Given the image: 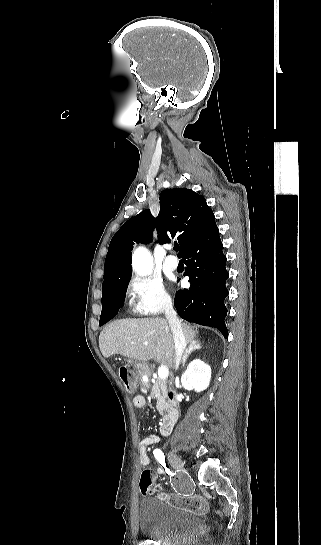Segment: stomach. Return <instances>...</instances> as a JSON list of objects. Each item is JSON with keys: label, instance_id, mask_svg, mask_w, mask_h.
Returning <instances> with one entry per match:
<instances>
[{"label": "stomach", "instance_id": "obj_1", "mask_svg": "<svg viewBox=\"0 0 321 545\" xmlns=\"http://www.w3.org/2000/svg\"><path fill=\"white\" fill-rule=\"evenodd\" d=\"M130 365H132L136 375H138L139 379L140 377H143L145 375V371H148L149 365L147 361H128Z\"/></svg>", "mask_w": 321, "mask_h": 545}]
</instances>
